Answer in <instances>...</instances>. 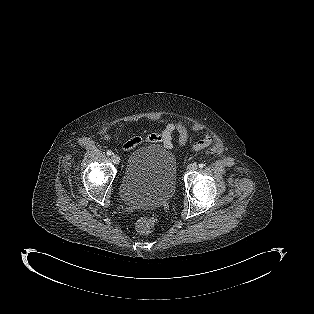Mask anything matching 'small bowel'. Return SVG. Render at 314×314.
I'll list each match as a JSON object with an SVG mask.
<instances>
[{
  "mask_svg": "<svg viewBox=\"0 0 314 314\" xmlns=\"http://www.w3.org/2000/svg\"><path fill=\"white\" fill-rule=\"evenodd\" d=\"M177 132L179 142L182 146H186L189 142L190 131L188 127L181 122H170L165 125L160 132H150L144 136H134L127 140L122 149L123 151H130L142 142L161 143L164 148L171 149L173 147L172 137ZM213 142V137L210 133H206L204 138L194 145V150H201L210 146Z\"/></svg>",
  "mask_w": 314,
  "mask_h": 314,
  "instance_id": "small-bowel-1",
  "label": "small bowel"
}]
</instances>
